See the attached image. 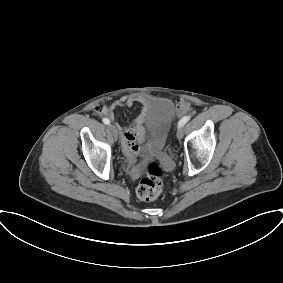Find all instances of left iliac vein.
Returning <instances> with one entry per match:
<instances>
[{
    "label": "left iliac vein",
    "mask_w": 283,
    "mask_h": 283,
    "mask_svg": "<svg viewBox=\"0 0 283 283\" xmlns=\"http://www.w3.org/2000/svg\"><path fill=\"white\" fill-rule=\"evenodd\" d=\"M184 136V131H183V128H179L178 131H177V138L180 140L182 139Z\"/></svg>",
    "instance_id": "obj_1"
}]
</instances>
